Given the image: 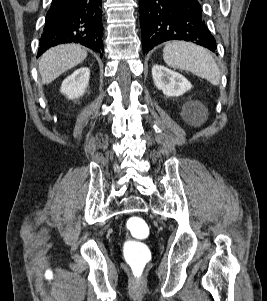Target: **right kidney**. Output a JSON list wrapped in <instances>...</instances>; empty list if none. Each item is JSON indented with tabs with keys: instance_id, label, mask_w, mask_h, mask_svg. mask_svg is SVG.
<instances>
[{
	"instance_id": "right-kidney-1",
	"label": "right kidney",
	"mask_w": 267,
	"mask_h": 301,
	"mask_svg": "<svg viewBox=\"0 0 267 301\" xmlns=\"http://www.w3.org/2000/svg\"><path fill=\"white\" fill-rule=\"evenodd\" d=\"M89 78V68H79L62 82L60 91L69 99L78 98L84 94L85 89L89 84Z\"/></svg>"
}]
</instances>
